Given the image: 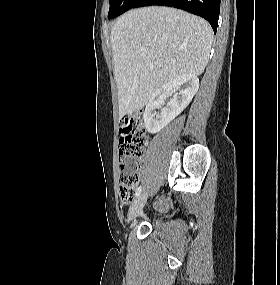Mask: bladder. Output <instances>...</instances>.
I'll return each mask as SVG.
<instances>
[{
    "mask_svg": "<svg viewBox=\"0 0 280 285\" xmlns=\"http://www.w3.org/2000/svg\"><path fill=\"white\" fill-rule=\"evenodd\" d=\"M166 215L154 212L152 213V221L153 222H160Z\"/></svg>",
    "mask_w": 280,
    "mask_h": 285,
    "instance_id": "31cf9c89",
    "label": "bladder"
}]
</instances>
